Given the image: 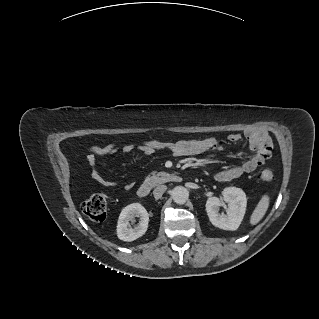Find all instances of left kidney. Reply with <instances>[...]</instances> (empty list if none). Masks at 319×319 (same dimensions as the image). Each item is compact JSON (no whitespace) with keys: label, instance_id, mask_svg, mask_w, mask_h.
I'll return each mask as SVG.
<instances>
[{"label":"left kidney","instance_id":"left-kidney-1","mask_svg":"<svg viewBox=\"0 0 319 319\" xmlns=\"http://www.w3.org/2000/svg\"><path fill=\"white\" fill-rule=\"evenodd\" d=\"M222 199L228 204L226 214L219 213L222 201L218 197H209L206 212L210 222L223 230H237L246 211L247 199L244 191L236 187H227L222 192Z\"/></svg>","mask_w":319,"mask_h":319}]
</instances>
